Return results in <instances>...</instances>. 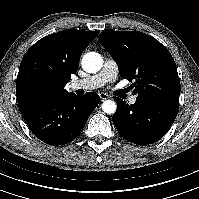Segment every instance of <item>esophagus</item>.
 <instances>
[{
    "instance_id": "34e87169",
    "label": "esophagus",
    "mask_w": 199,
    "mask_h": 199,
    "mask_svg": "<svg viewBox=\"0 0 199 199\" xmlns=\"http://www.w3.org/2000/svg\"><path fill=\"white\" fill-rule=\"evenodd\" d=\"M99 97H100V99H101L102 101L109 98L108 94H106V93H104V92L99 93Z\"/></svg>"
}]
</instances>
